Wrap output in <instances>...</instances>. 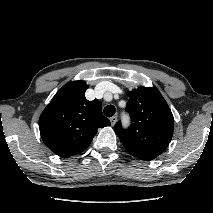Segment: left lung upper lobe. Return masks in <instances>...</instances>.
<instances>
[{"mask_svg":"<svg viewBox=\"0 0 213 213\" xmlns=\"http://www.w3.org/2000/svg\"><path fill=\"white\" fill-rule=\"evenodd\" d=\"M127 95L126 111L131 116V126L124 130L118 122L115 132L131 155L143 160L155 159L171 141L174 130L172 112L154 87L134 89Z\"/></svg>","mask_w":213,"mask_h":213,"instance_id":"left-lung-upper-lobe-1","label":"left lung upper lobe"}]
</instances>
